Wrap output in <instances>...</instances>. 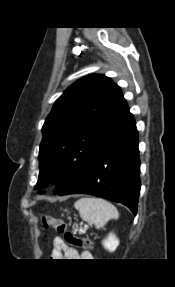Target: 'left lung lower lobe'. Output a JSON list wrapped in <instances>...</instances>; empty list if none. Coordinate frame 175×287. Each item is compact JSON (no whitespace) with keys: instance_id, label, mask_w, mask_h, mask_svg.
<instances>
[{"instance_id":"obj_1","label":"left lung lower lobe","mask_w":175,"mask_h":287,"mask_svg":"<svg viewBox=\"0 0 175 287\" xmlns=\"http://www.w3.org/2000/svg\"><path fill=\"white\" fill-rule=\"evenodd\" d=\"M139 174L138 131L132 117L100 147L84 173L59 195L90 194L120 202L136 214Z\"/></svg>"}]
</instances>
